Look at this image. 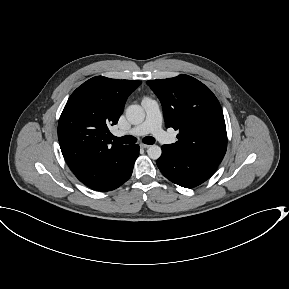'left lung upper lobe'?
Masks as SVG:
<instances>
[{
	"label": "left lung upper lobe",
	"instance_id": "left-lung-upper-lobe-1",
	"mask_svg": "<svg viewBox=\"0 0 289 289\" xmlns=\"http://www.w3.org/2000/svg\"><path fill=\"white\" fill-rule=\"evenodd\" d=\"M161 101L166 127L179 130L173 152L220 164L227 149L221 105L212 91L188 75L147 81Z\"/></svg>",
	"mask_w": 289,
	"mask_h": 289
}]
</instances>
